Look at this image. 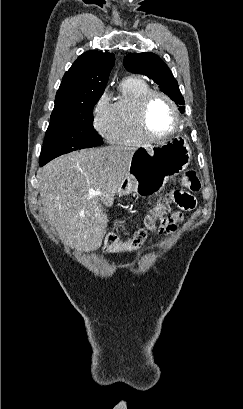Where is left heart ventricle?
Here are the masks:
<instances>
[{
  "instance_id": "1",
  "label": "left heart ventricle",
  "mask_w": 243,
  "mask_h": 409,
  "mask_svg": "<svg viewBox=\"0 0 243 409\" xmlns=\"http://www.w3.org/2000/svg\"><path fill=\"white\" fill-rule=\"evenodd\" d=\"M148 124L156 135H164L175 127V117L171 106L161 97L152 99L148 109Z\"/></svg>"
}]
</instances>
